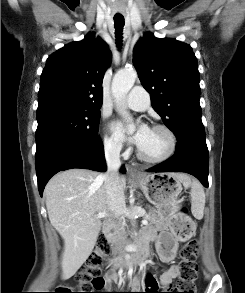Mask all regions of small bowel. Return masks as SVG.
<instances>
[{
	"label": "small bowel",
	"instance_id": "obj_1",
	"mask_svg": "<svg viewBox=\"0 0 245 293\" xmlns=\"http://www.w3.org/2000/svg\"><path fill=\"white\" fill-rule=\"evenodd\" d=\"M150 240H155L156 249L160 258L163 261H171L177 253L178 244L184 241L185 237H176L172 234L171 231H164L157 234L146 229L141 233V241L146 245V243ZM178 275L179 267L177 265H172L170 268L164 271L160 277L161 289L167 291L171 287L172 281L177 278ZM105 278L108 286L113 283L117 284L119 287H125L126 285V282L114 271H109ZM130 283L134 286L140 285V281L138 279H134ZM143 284L146 287H149L151 286V280L146 277Z\"/></svg>",
	"mask_w": 245,
	"mask_h": 293
}]
</instances>
